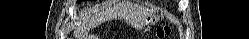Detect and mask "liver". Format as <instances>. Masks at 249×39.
I'll list each match as a JSON object with an SVG mask.
<instances>
[{"label": "liver", "instance_id": "obj_1", "mask_svg": "<svg viewBox=\"0 0 249 39\" xmlns=\"http://www.w3.org/2000/svg\"><path fill=\"white\" fill-rule=\"evenodd\" d=\"M130 3H122L120 4V12L123 14H126L127 12V6H129ZM111 13L110 11L108 12V14ZM148 10H145L144 12H141V15L139 16V21L142 22L144 21V19L146 18V16L148 15Z\"/></svg>", "mask_w": 249, "mask_h": 39}]
</instances>
